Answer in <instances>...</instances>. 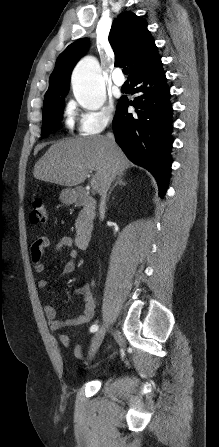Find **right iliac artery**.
Wrapping results in <instances>:
<instances>
[{
    "mask_svg": "<svg viewBox=\"0 0 219 447\" xmlns=\"http://www.w3.org/2000/svg\"><path fill=\"white\" fill-rule=\"evenodd\" d=\"M98 330V325L94 324L90 327V332H96Z\"/></svg>",
    "mask_w": 219,
    "mask_h": 447,
    "instance_id": "82829eb1",
    "label": "right iliac artery"
}]
</instances>
